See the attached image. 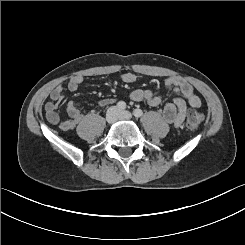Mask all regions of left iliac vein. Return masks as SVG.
Segmentation results:
<instances>
[{"instance_id": "1", "label": "left iliac vein", "mask_w": 245, "mask_h": 245, "mask_svg": "<svg viewBox=\"0 0 245 245\" xmlns=\"http://www.w3.org/2000/svg\"><path fill=\"white\" fill-rule=\"evenodd\" d=\"M118 118L120 120H129L132 118V114L129 111H121Z\"/></svg>"}]
</instances>
